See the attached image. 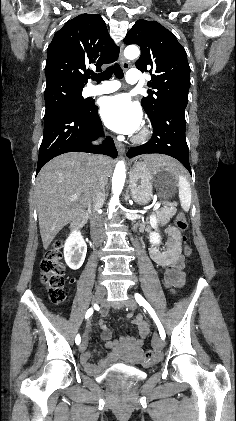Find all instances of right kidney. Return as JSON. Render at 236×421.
<instances>
[{
    "label": "right kidney",
    "instance_id": "1",
    "mask_svg": "<svg viewBox=\"0 0 236 421\" xmlns=\"http://www.w3.org/2000/svg\"><path fill=\"white\" fill-rule=\"evenodd\" d=\"M87 253V245L81 235L77 231H73L70 237H68L64 245V259L66 265L77 271L82 267Z\"/></svg>",
    "mask_w": 236,
    "mask_h": 421
}]
</instances>
